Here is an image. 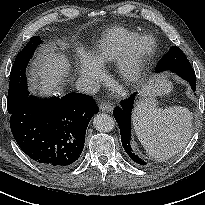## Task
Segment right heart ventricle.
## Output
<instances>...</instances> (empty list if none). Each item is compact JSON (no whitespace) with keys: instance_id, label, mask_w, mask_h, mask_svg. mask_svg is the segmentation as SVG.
Instances as JSON below:
<instances>
[{"instance_id":"right-heart-ventricle-1","label":"right heart ventricle","mask_w":205,"mask_h":205,"mask_svg":"<svg viewBox=\"0 0 205 205\" xmlns=\"http://www.w3.org/2000/svg\"><path fill=\"white\" fill-rule=\"evenodd\" d=\"M135 38L136 33L130 30L113 27L102 33L90 56L100 65L114 62L131 49Z\"/></svg>"}]
</instances>
